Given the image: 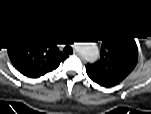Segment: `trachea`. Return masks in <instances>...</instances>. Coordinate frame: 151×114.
I'll return each mask as SVG.
<instances>
[{
    "label": "trachea",
    "instance_id": "trachea-1",
    "mask_svg": "<svg viewBox=\"0 0 151 114\" xmlns=\"http://www.w3.org/2000/svg\"><path fill=\"white\" fill-rule=\"evenodd\" d=\"M64 51H65L66 53H70V52H71V48L66 47V48L64 49Z\"/></svg>",
    "mask_w": 151,
    "mask_h": 114
}]
</instances>
